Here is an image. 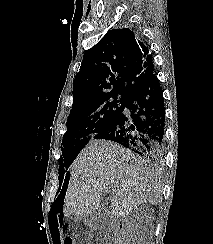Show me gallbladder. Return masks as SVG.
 <instances>
[{
    "instance_id": "bac80fb5",
    "label": "gallbladder",
    "mask_w": 213,
    "mask_h": 244,
    "mask_svg": "<svg viewBox=\"0 0 213 244\" xmlns=\"http://www.w3.org/2000/svg\"><path fill=\"white\" fill-rule=\"evenodd\" d=\"M84 225L92 230H102L109 227L112 218L105 207H101L96 213L83 218Z\"/></svg>"
}]
</instances>
